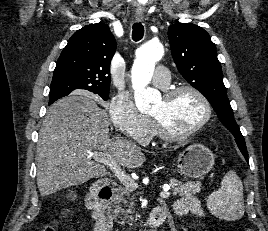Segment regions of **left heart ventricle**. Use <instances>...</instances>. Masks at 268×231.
I'll return each mask as SVG.
<instances>
[{
    "label": "left heart ventricle",
    "mask_w": 268,
    "mask_h": 231,
    "mask_svg": "<svg viewBox=\"0 0 268 231\" xmlns=\"http://www.w3.org/2000/svg\"><path fill=\"white\" fill-rule=\"evenodd\" d=\"M149 114L163 117L173 132L183 133L199 123L204 115V107L195 95L184 92L169 104L160 98Z\"/></svg>",
    "instance_id": "1"
}]
</instances>
